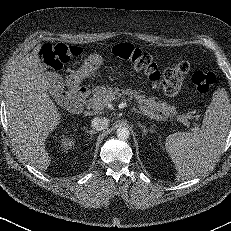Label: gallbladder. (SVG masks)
<instances>
[{
  "label": "gallbladder",
  "mask_w": 231,
  "mask_h": 231,
  "mask_svg": "<svg viewBox=\"0 0 231 231\" xmlns=\"http://www.w3.org/2000/svg\"><path fill=\"white\" fill-rule=\"evenodd\" d=\"M47 78L49 81V88L52 92L55 90H62V78L59 74L55 72L47 73Z\"/></svg>",
  "instance_id": "bac80fb5"
}]
</instances>
